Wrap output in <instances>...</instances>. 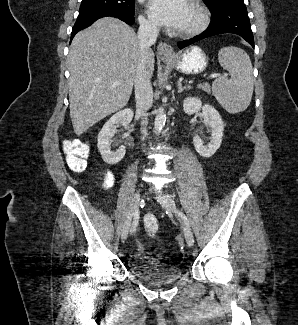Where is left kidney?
I'll return each instance as SVG.
<instances>
[{
    "instance_id": "1",
    "label": "left kidney",
    "mask_w": 298,
    "mask_h": 325,
    "mask_svg": "<svg viewBox=\"0 0 298 325\" xmlns=\"http://www.w3.org/2000/svg\"><path fill=\"white\" fill-rule=\"evenodd\" d=\"M183 110L186 114H194V112L202 110L204 122L206 126H209V130H211L210 142L203 144L202 138L198 134H195L193 136V144L201 156L209 158V156L215 154L222 142L225 124L221 118V114H219L218 110L212 104H203L201 98H198V96H187V98H184Z\"/></svg>"
}]
</instances>
